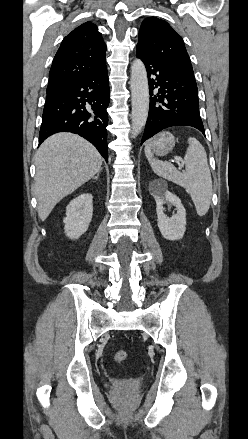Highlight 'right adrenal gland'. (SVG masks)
<instances>
[{
	"label": "right adrenal gland",
	"instance_id": "1",
	"mask_svg": "<svg viewBox=\"0 0 248 439\" xmlns=\"http://www.w3.org/2000/svg\"><path fill=\"white\" fill-rule=\"evenodd\" d=\"M99 175H100V171L97 173V175L93 179L97 180Z\"/></svg>",
	"mask_w": 248,
	"mask_h": 439
}]
</instances>
